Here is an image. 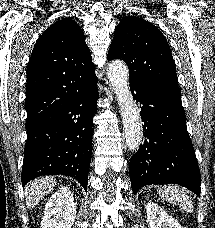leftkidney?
Wrapping results in <instances>:
<instances>
[{
    "label": "left kidney",
    "mask_w": 215,
    "mask_h": 228,
    "mask_svg": "<svg viewBox=\"0 0 215 228\" xmlns=\"http://www.w3.org/2000/svg\"><path fill=\"white\" fill-rule=\"evenodd\" d=\"M148 228H181L177 220L169 216L158 204L149 202L146 206Z\"/></svg>",
    "instance_id": "obj_1"
}]
</instances>
